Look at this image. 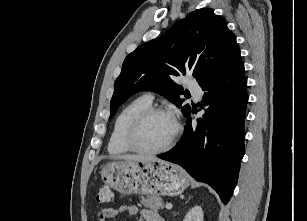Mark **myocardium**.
I'll list each match as a JSON object with an SVG mask.
<instances>
[{
	"instance_id": "1",
	"label": "myocardium",
	"mask_w": 307,
	"mask_h": 221,
	"mask_svg": "<svg viewBox=\"0 0 307 221\" xmlns=\"http://www.w3.org/2000/svg\"><path fill=\"white\" fill-rule=\"evenodd\" d=\"M155 114H167L173 117L176 124L175 131L170 137V139L163 146L156 149L144 148L138 143V134L145 120ZM180 131L181 127L170 110L157 106H149L136 114L135 117L129 123L125 133V143L128 148L133 152L143 155H157L164 153L172 148L180 134Z\"/></svg>"
}]
</instances>
